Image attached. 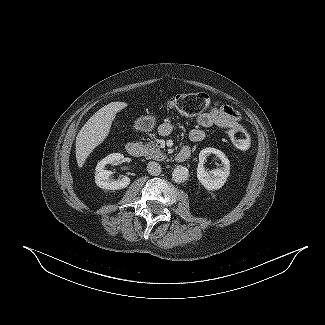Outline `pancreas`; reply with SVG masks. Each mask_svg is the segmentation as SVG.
<instances>
[{
    "mask_svg": "<svg viewBox=\"0 0 325 325\" xmlns=\"http://www.w3.org/2000/svg\"><path fill=\"white\" fill-rule=\"evenodd\" d=\"M160 148L161 147L158 143L151 141L143 146V155L148 159L163 161L167 156Z\"/></svg>",
    "mask_w": 325,
    "mask_h": 325,
    "instance_id": "pancreas-1",
    "label": "pancreas"
}]
</instances>
